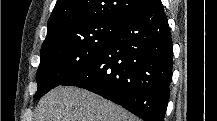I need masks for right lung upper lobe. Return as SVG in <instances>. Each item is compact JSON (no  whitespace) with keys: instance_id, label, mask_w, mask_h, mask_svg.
Returning a JSON list of instances; mask_svg holds the SVG:
<instances>
[{"instance_id":"1","label":"right lung upper lobe","mask_w":217,"mask_h":121,"mask_svg":"<svg viewBox=\"0 0 217 121\" xmlns=\"http://www.w3.org/2000/svg\"><path fill=\"white\" fill-rule=\"evenodd\" d=\"M152 0H57L48 20L42 46L81 24L97 21L124 22Z\"/></svg>"}]
</instances>
